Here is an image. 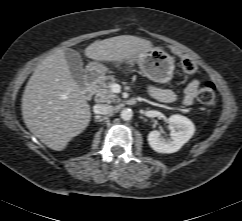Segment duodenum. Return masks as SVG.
I'll use <instances>...</instances> for the list:
<instances>
[{
    "label": "duodenum",
    "instance_id": "1",
    "mask_svg": "<svg viewBox=\"0 0 242 221\" xmlns=\"http://www.w3.org/2000/svg\"><path fill=\"white\" fill-rule=\"evenodd\" d=\"M98 78H99V72L96 70H91L87 73L86 87H85L84 93H83V96L85 98H89L92 96L93 86H94L95 82L98 80Z\"/></svg>",
    "mask_w": 242,
    "mask_h": 221
}]
</instances>
